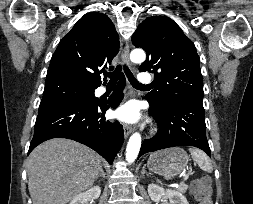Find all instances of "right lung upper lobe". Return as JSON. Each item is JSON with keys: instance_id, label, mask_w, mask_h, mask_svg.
<instances>
[{"instance_id": "1", "label": "right lung upper lobe", "mask_w": 253, "mask_h": 204, "mask_svg": "<svg viewBox=\"0 0 253 204\" xmlns=\"http://www.w3.org/2000/svg\"><path fill=\"white\" fill-rule=\"evenodd\" d=\"M119 46L118 33L107 15H84L60 41L51 58L46 83L69 81L97 88L102 83L100 73L114 69L111 63Z\"/></svg>"}]
</instances>
